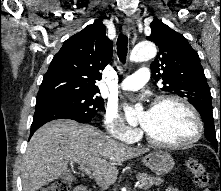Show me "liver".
Masks as SVG:
<instances>
[{"instance_id":"6515ba94","label":"liver","mask_w":221,"mask_h":191,"mask_svg":"<svg viewBox=\"0 0 221 191\" xmlns=\"http://www.w3.org/2000/svg\"><path fill=\"white\" fill-rule=\"evenodd\" d=\"M148 149L121 144L90 125L54 120L39 128L23 157V191H36L67 172L68 163L88 167L96 182L107 188L117 180V163L136 158Z\"/></svg>"}]
</instances>
